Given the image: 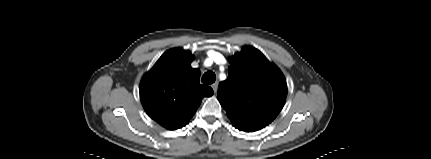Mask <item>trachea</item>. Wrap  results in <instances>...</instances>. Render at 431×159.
Here are the masks:
<instances>
[{
  "instance_id": "3493384b",
  "label": "trachea",
  "mask_w": 431,
  "mask_h": 159,
  "mask_svg": "<svg viewBox=\"0 0 431 159\" xmlns=\"http://www.w3.org/2000/svg\"><path fill=\"white\" fill-rule=\"evenodd\" d=\"M215 80H216V75L212 71H208L202 76V83L207 85L214 83Z\"/></svg>"
}]
</instances>
